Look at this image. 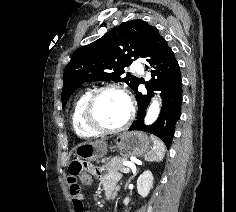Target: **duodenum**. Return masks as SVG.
<instances>
[{"instance_id":"obj_1","label":"duodenum","mask_w":236,"mask_h":212,"mask_svg":"<svg viewBox=\"0 0 236 212\" xmlns=\"http://www.w3.org/2000/svg\"><path fill=\"white\" fill-rule=\"evenodd\" d=\"M106 197L109 199L111 197V192L110 191H106Z\"/></svg>"}]
</instances>
